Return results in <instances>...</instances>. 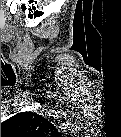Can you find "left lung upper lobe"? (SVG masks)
Wrapping results in <instances>:
<instances>
[{"instance_id": "obj_1", "label": "left lung upper lobe", "mask_w": 121, "mask_h": 137, "mask_svg": "<svg viewBox=\"0 0 121 137\" xmlns=\"http://www.w3.org/2000/svg\"><path fill=\"white\" fill-rule=\"evenodd\" d=\"M54 130L48 119L34 112L19 113L1 123V135L8 137L48 136Z\"/></svg>"}]
</instances>
